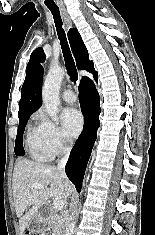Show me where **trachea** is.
I'll return each instance as SVG.
<instances>
[{
  "mask_svg": "<svg viewBox=\"0 0 155 235\" xmlns=\"http://www.w3.org/2000/svg\"><path fill=\"white\" fill-rule=\"evenodd\" d=\"M48 8L51 11L53 18H54V23H55V27L57 30L58 38L60 40L67 72L69 74L70 80L74 84H76L78 82V73H77V69L75 66V62L73 60L72 54L70 52V49L67 43L65 31L62 28L63 23H62L59 8H53V7H48Z\"/></svg>",
  "mask_w": 155,
  "mask_h": 235,
  "instance_id": "3493384b",
  "label": "trachea"
}]
</instances>
